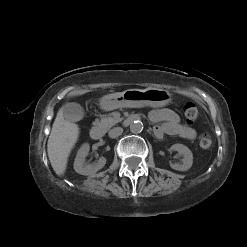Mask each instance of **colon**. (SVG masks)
Segmentation results:
<instances>
[{"mask_svg": "<svg viewBox=\"0 0 247 247\" xmlns=\"http://www.w3.org/2000/svg\"><path fill=\"white\" fill-rule=\"evenodd\" d=\"M183 113H184L185 119L190 123L195 122L201 116L200 110L192 102H188L184 104ZM199 145L202 149H209L212 146V139L210 135L207 133H203L199 138Z\"/></svg>", "mask_w": 247, "mask_h": 247, "instance_id": "1", "label": "colon"}]
</instances>
